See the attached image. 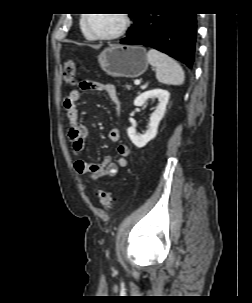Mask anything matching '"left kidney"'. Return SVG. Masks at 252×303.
Returning a JSON list of instances; mask_svg holds the SVG:
<instances>
[{
  "mask_svg": "<svg viewBox=\"0 0 252 303\" xmlns=\"http://www.w3.org/2000/svg\"><path fill=\"white\" fill-rule=\"evenodd\" d=\"M169 92L163 89H153L149 91H145L141 93L136 99L134 100L135 106H143L148 99L157 98L158 99V106L156 107L155 111L151 114L150 123L148 125V129L144 134H139L136 132L134 126H131L127 129V134L132 141V143L138 147H144L149 141L155 138L157 134V129L161 119L164 116L166 105L169 100Z\"/></svg>",
  "mask_w": 252,
  "mask_h": 303,
  "instance_id": "obj_1",
  "label": "left kidney"
}]
</instances>
